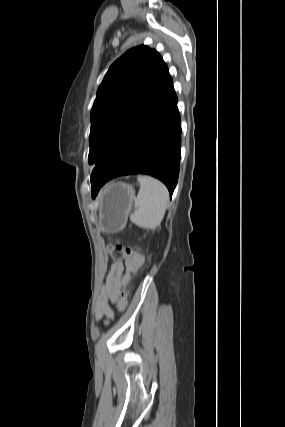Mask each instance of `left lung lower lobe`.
<instances>
[{
    "mask_svg": "<svg viewBox=\"0 0 285 427\" xmlns=\"http://www.w3.org/2000/svg\"><path fill=\"white\" fill-rule=\"evenodd\" d=\"M180 146L177 97L168 72L149 104L96 162L91 174L92 196L108 180L128 174L154 176L165 183L172 196L179 174Z\"/></svg>",
    "mask_w": 285,
    "mask_h": 427,
    "instance_id": "1",
    "label": "left lung lower lobe"
}]
</instances>
